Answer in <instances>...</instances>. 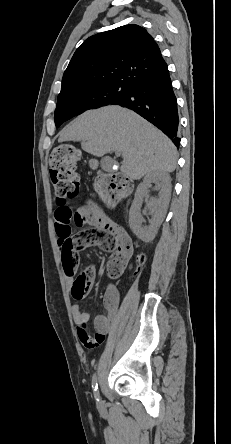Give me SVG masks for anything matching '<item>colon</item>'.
Wrapping results in <instances>:
<instances>
[{
	"label": "colon",
	"mask_w": 231,
	"mask_h": 444,
	"mask_svg": "<svg viewBox=\"0 0 231 444\" xmlns=\"http://www.w3.org/2000/svg\"><path fill=\"white\" fill-rule=\"evenodd\" d=\"M79 158L78 151L71 145H62L57 148L50 157L49 172L52 185L58 200L73 197L79 187L76 164ZM132 182L121 174H111L101 177L96 183V189L102 198L110 205L114 204L122 195L130 191ZM75 224L83 225L80 215L76 216ZM129 256L124 251L114 252L109 260L108 275L112 278L119 277L127 263ZM142 262V259L139 260ZM65 268L75 270L78 264V254L73 251H66L62 257ZM92 284V270L87 269L78 274L72 284V295L75 298L84 297Z\"/></svg>",
	"instance_id": "5ec220e1"
}]
</instances>
